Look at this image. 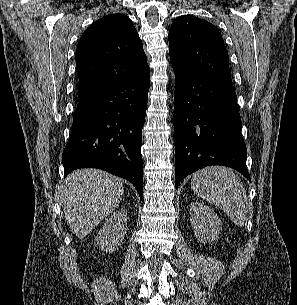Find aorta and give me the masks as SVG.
<instances>
[{
    "instance_id": "1",
    "label": "aorta",
    "mask_w": 297,
    "mask_h": 305,
    "mask_svg": "<svg viewBox=\"0 0 297 305\" xmlns=\"http://www.w3.org/2000/svg\"><path fill=\"white\" fill-rule=\"evenodd\" d=\"M172 80H173V86H174V85H175V84H174L175 75H172Z\"/></svg>"
}]
</instances>
